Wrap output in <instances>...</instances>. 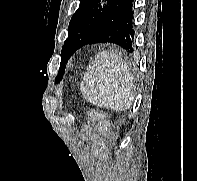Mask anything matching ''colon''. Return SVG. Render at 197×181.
Listing matches in <instances>:
<instances>
[{"mask_svg": "<svg viewBox=\"0 0 197 181\" xmlns=\"http://www.w3.org/2000/svg\"><path fill=\"white\" fill-rule=\"evenodd\" d=\"M90 121L95 123L100 129L107 130L108 124L106 122V116L103 111L93 110L88 114Z\"/></svg>", "mask_w": 197, "mask_h": 181, "instance_id": "colon-1", "label": "colon"}]
</instances>
